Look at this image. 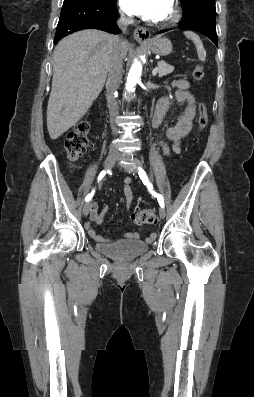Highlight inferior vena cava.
I'll list each match as a JSON object with an SVG mask.
<instances>
[{"label": "inferior vena cava", "instance_id": "obj_1", "mask_svg": "<svg viewBox=\"0 0 254 397\" xmlns=\"http://www.w3.org/2000/svg\"><path fill=\"white\" fill-rule=\"evenodd\" d=\"M132 19H126L123 15L118 21L119 27L125 31L128 25L132 24ZM125 42L118 36H114V44L110 53V62L108 66V79H107V104L110 113L111 127L113 134L117 133V128L113 123L114 118L118 115V104L115 99V91L118 89L122 79V55L121 45Z\"/></svg>", "mask_w": 254, "mask_h": 397}]
</instances>
